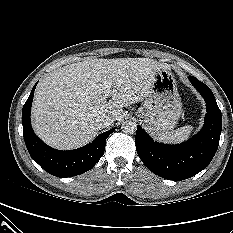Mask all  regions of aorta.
I'll list each match as a JSON object with an SVG mask.
<instances>
[{
  "instance_id": "762f6f07",
  "label": "aorta",
  "mask_w": 233,
  "mask_h": 233,
  "mask_svg": "<svg viewBox=\"0 0 233 233\" xmlns=\"http://www.w3.org/2000/svg\"><path fill=\"white\" fill-rule=\"evenodd\" d=\"M121 129L126 134H134L137 130V125L133 121H125L122 123Z\"/></svg>"
}]
</instances>
